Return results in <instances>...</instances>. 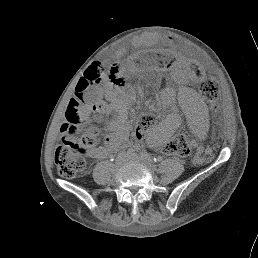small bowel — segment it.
<instances>
[{
  "instance_id": "small-bowel-1",
  "label": "small bowel",
  "mask_w": 258,
  "mask_h": 258,
  "mask_svg": "<svg viewBox=\"0 0 258 258\" xmlns=\"http://www.w3.org/2000/svg\"><path fill=\"white\" fill-rule=\"evenodd\" d=\"M141 41L140 40H136L132 43V46L133 47H138L141 45ZM120 55V54H118ZM90 96L93 97V98H98V89L97 88H94V89H91L90 91ZM115 98L114 95H111V99H110V103L111 101ZM96 110V108L94 109ZM112 110V107L111 106H102V107H97V110L96 111H103V112H111ZM90 114H91V110L90 109H85L83 110L82 112V117H83V120L84 121H88L89 118H90ZM116 127H118V131L120 132V138L115 140L110 147H99V148H96L94 150H92L90 152V155L92 157H95V158H102V157H105L106 155H108V153L110 152L111 148H113L115 145H117V143L123 139H125L127 137V130L123 127H120L118 124L116 125ZM159 140V137L156 136L153 138V142L155 141H158Z\"/></svg>"
}]
</instances>
